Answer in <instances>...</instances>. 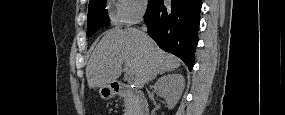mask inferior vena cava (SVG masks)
I'll return each instance as SVG.
<instances>
[{
    "instance_id": "obj_1",
    "label": "inferior vena cava",
    "mask_w": 285,
    "mask_h": 115,
    "mask_svg": "<svg viewBox=\"0 0 285 115\" xmlns=\"http://www.w3.org/2000/svg\"><path fill=\"white\" fill-rule=\"evenodd\" d=\"M147 27L146 26H143L142 27V30L140 31V34L142 35V37L146 38L147 37Z\"/></svg>"
}]
</instances>
